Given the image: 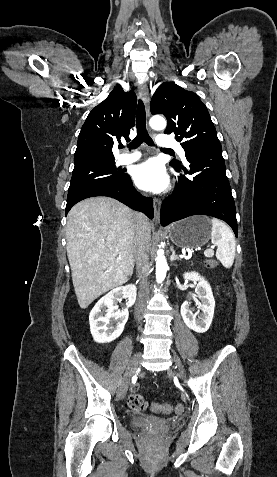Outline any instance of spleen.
Here are the masks:
<instances>
[{
	"label": "spleen",
	"mask_w": 277,
	"mask_h": 477,
	"mask_svg": "<svg viewBox=\"0 0 277 477\" xmlns=\"http://www.w3.org/2000/svg\"><path fill=\"white\" fill-rule=\"evenodd\" d=\"M212 225L211 242L217 246L216 258L225 268L233 265L235 258V238L231 229L222 221L213 218L210 221Z\"/></svg>",
	"instance_id": "spleen-1"
}]
</instances>
